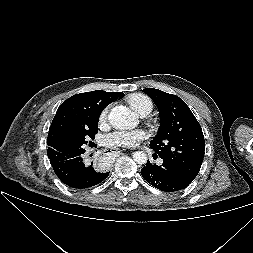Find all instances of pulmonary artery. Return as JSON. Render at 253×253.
<instances>
[{
    "mask_svg": "<svg viewBox=\"0 0 253 253\" xmlns=\"http://www.w3.org/2000/svg\"><path fill=\"white\" fill-rule=\"evenodd\" d=\"M142 116H145L146 114H141ZM160 163H161V161H160Z\"/></svg>",
    "mask_w": 253,
    "mask_h": 253,
    "instance_id": "e3ab8cb5",
    "label": "pulmonary artery"
}]
</instances>
